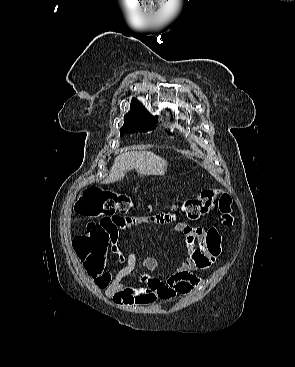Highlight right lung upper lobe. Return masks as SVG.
<instances>
[{"label":"right lung upper lobe","mask_w":295,"mask_h":367,"mask_svg":"<svg viewBox=\"0 0 295 367\" xmlns=\"http://www.w3.org/2000/svg\"><path fill=\"white\" fill-rule=\"evenodd\" d=\"M141 106H143V105L141 104V102H139V100H137L136 98H133V99H132L131 106H130V111H129L128 113H132V111H133L134 109H136V108H138V107H141ZM128 113H127V114H128Z\"/></svg>","instance_id":"1"}]
</instances>
